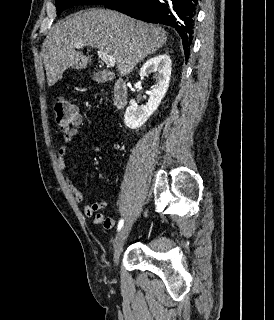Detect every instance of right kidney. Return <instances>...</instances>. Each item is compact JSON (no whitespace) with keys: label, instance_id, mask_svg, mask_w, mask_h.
Listing matches in <instances>:
<instances>
[{"label":"right kidney","instance_id":"right-kidney-1","mask_svg":"<svg viewBox=\"0 0 274 320\" xmlns=\"http://www.w3.org/2000/svg\"><path fill=\"white\" fill-rule=\"evenodd\" d=\"M172 62L169 54H157L143 64L139 76L141 80L154 72L156 84L152 88L146 106H128L124 114V124L130 130L141 128L148 118L157 110L163 100L169 86Z\"/></svg>","mask_w":274,"mask_h":320}]
</instances>
